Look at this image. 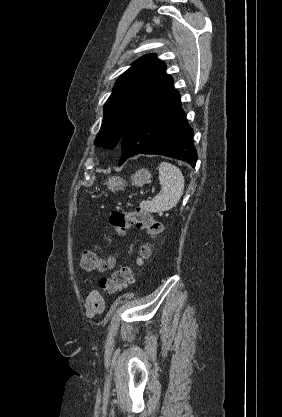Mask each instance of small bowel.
Returning <instances> with one entry per match:
<instances>
[{
	"label": "small bowel",
	"mask_w": 282,
	"mask_h": 417,
	"mask_svg": "<svg viewBox=\"0 0 282 417\" xmlns=\"http://www.w3.org/2000/svg\"><path fill=\"white\" fill-rule=\"evenodd\" d=\"M120 256V252H114L107 255L104 259H108L110 262H116L117 258ZM86 315L90 318L100 315L105 310V301L102 295L96 291H91L85 302Z\"/></svg>",
	"instance_id": "c3829d8e"
}]
</instances>
